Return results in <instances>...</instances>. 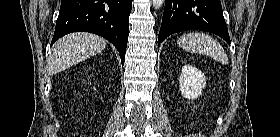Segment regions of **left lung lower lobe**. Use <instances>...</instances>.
<instances>
[{
    "label": "left lung lower lobe",
    "mask_w": 280,
    "mask_h": 137,
    "mask_svg": "<svg viewBox=\"0 0 280 137\" xmlns=\"http://www.w3.org/2000/svg\"><path fill=\"white\" fill-rule=\"evenodd\" d=\"M187 30L212 32L230 44L220 0H166L158 44L173 33Z\"/></svg>",
    "instance_id": "1"
}]
</instances>
